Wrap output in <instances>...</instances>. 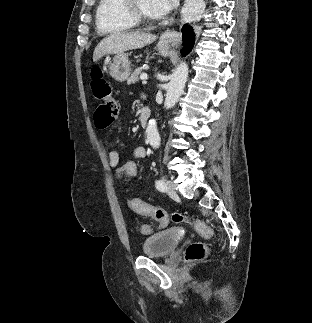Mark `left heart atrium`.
Wrapping results in <instances>:
<instances>
[{
  "instance_id": "obj_1",
  "label": "left heart atrium",
  "mask_w": 312,
  "mask_h": 323,
  "mask_svg": "<svg viewBox=\"0 0 312 323\" xmlns=\"http://www.w3.org/2000/svg\"><path fill=\"white\" fill-rule=\"evenodd\" d=\"M179 0H153V12H175Z\"/></svg>"
}]
</instances>
